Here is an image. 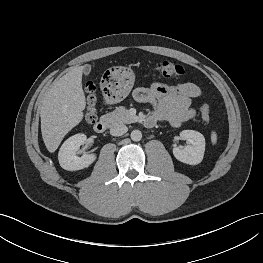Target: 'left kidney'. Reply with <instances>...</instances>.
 Masks as SVG:
<instances>
[{"instance_id":"1","label":"left kidney","mask_w":263,"mask_h":263,"mask_svg":"<svg viewBox=\"0 0 263 263\" xmlns=\"http://www.w3.org/2000/svg\"><path fill=\"white\" fill-rule=\"evenodd\" d=\"M180 137L187 141V146L183 149L174 147L173 155L175 158L189 165L201 163L205 152L204 136L195 130H183L180 132Z\"/></svg>"}]
</instances>
